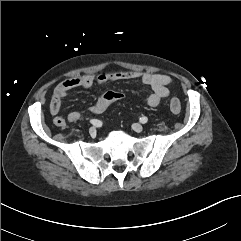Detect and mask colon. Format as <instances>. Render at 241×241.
Returning <instances> with one entry per match:
<instances>
[{
  "instance_id": "colon-1",
  "label": "colon",
  "mask_w": 241,
  "mask_h": 241,
  "mask_svg": "<svg viewBox=\"0 0 241 241\" xmlns=\"http://www.w3.org/2000/svg\"><path fill=\"white\" fill-rule=\"evenodd\" d=\"M102 97L107 101H115L123 99V94H121L118 90H107L102 94ZM169 108L172 113L178 114L181 111V103L179 99L172 98L169 102Z\"/></svg>"
}]
</instances>
